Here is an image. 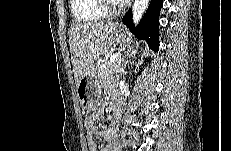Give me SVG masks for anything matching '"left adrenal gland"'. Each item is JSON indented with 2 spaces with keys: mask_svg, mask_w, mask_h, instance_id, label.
I'll list each match as a JSON object with an SVG mask.
<instances>
[{
  "mask_svg": "<svg viewBox=\"0 0 231 151\" xmlns=\"http://www.w3.org/2000/svg\"><path fill=\"white\" fill-rule=\"evenodd\" d=\"M121 74H124V69H122Z\"/></svg>",
  "mask_w": 231,
  "mask_h": 151,
  "instance_id": "a2214340",
  "label": "left adrenal gland"
}]
</instances>
